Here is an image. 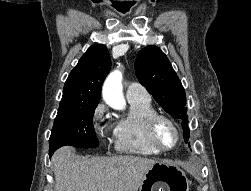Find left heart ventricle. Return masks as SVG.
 <instances>
[{
    "label": "left heart ventricle",
    "instance_id": "left-heart-ventricle-1",
    "mask_svg": "<svg viewBox=\"0 0 251 191\" xmlns=\"http://www.w3.org/2000/svg\"><path fill=\"white\" fill-rule=\"evenodd\" d=\"M155 138L159 147L163 150H172L179 140L178 134L173 126L165 120L157 122Z\"/></svg>",
    "mask_w": 251,
    "mask_h": 191
}]
</instances>
